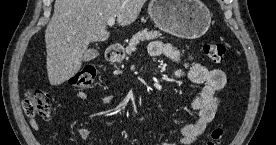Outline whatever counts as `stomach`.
Listing matches in <instances>:
<instances>
[{"instance_id":"obj_1","label":"stomach","mask_w":276,"mask_h":145,"mask_svg":"<svg viewBox=\"0 0 276 145\" xmlns=\"http://www.w3.org/2000/svg\"><path fill=\"white\" fill-rule=\"evenodd\" d=\"M148 14L156 27L184 39L203 36L211 23L210 11L200 0H151Z\"/></svg>"}]
</instances>
